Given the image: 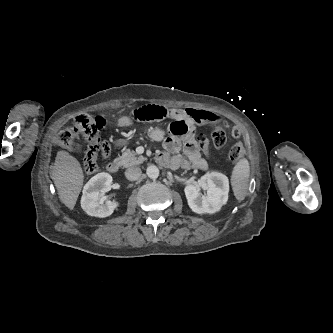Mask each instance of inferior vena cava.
I'll return each mask as SVG.
<instances>
[{"label":"inferior vena cava","mask_w":333,"mask_h":333,"mask_svg":"<svg viewBox=\"0 0 333 333\" xmlns=\"http://www.w3.org/2000/svg\"><path fill=\"white\" fill-rule=\"evenodd\" d=\"M141 173L139 167H130L125 171V177L130 181H136L140 178Z\"/></svg>","instance_id":"inferior-vena-cava-1"}]
</instances>
